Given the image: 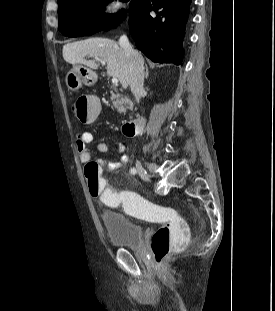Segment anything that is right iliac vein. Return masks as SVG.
Returning <instances> with one entry per match:
<instances>
[{"instance_id":"obj_1","label":"right iliac vein","mask_w":275,"mask_h":311,"mask_svg":"<svg viewBox=\"0 0 275 311\" xmlns=\"http://www.w3.org/2000/svg\"><path fill=\"white\" fill-rule=\"evenodd\" d=\"M136 169H137L139 176L142 179L150 180V176L148 175L147 171L145 170V168L143 167V165L139 161L136 162Z\"/></svg>"}]
</instances>
